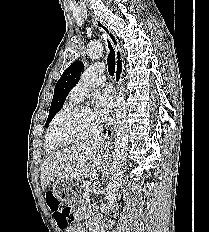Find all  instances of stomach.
Masks as SVG:
<instances>
[{
	"instance_id": "0dacf381",
	"label": "stomach",
	"mask_w": 209,
	"mask_h": 232,
	"mask_svg": "<svg viewBox=\"0 0 209 232\" xmlns=\"http://www.w3.org/2000/svg\"><path fill=\"white\" fill-rule=\"evenodd\" d=\"M55 199L62 203H73L74 199H80L81 182H77L75 176H58L54 185Z\"/></svg>"
}]
</instances>
